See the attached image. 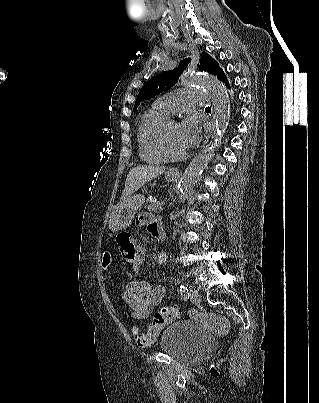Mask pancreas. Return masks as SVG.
I'll use <instances>...</instances> for the list:
<instances>
[{"label": "pancreas", "instance_id": "obj_1", "mask_svg": "<svg viewBox=\"0 0 319 403\" xmlns=\"http://www.w3.org/2000/svg\"><path fill=\"white\" fill-rule=\"evenodd\" d=\"M148 211L152 212H161L162 207L159 205L158 202L150 201V203L147 206Z\"/></svg>", "mask_w": 319, "mask_h": 403}]
</instances>
